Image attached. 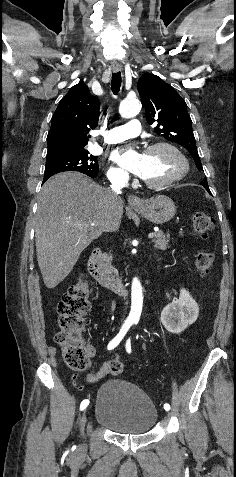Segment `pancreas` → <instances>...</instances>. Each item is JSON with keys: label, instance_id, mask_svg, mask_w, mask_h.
Listing matches in <instances>:
<instances>
[{"label": "pancreas", "instance_id": "obj_1", "mask_svg": "<svg viewBox=\"0 0 236 477\" xmlns=\"http://www.w3.org/2000/svg\"><path fill=\"white\" fill-rule=\"evenodd\" d=\"M154 237L155 238L153 240V243L157 249L166 250L169 247V239H170L169 234H164L162 231H158L154 233ZM111 261H112L111 256L104 255L102 266L105 272L108 274H112L113 272L114 273L116 272L115 268L111 264Z\"/></svg>", "mask_w": 236, "mask_h": 477}]
</instances>
